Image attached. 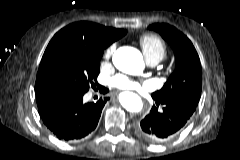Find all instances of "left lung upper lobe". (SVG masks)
<instances>
[{
	"label": "left lung upper lobe",
	"mask_w": 240,
	"mask_h": 160,
	"mask_svg": "<svg viewBox=\"0 0 240 160\" xmlns=\"http://www.w3.org/2000/svg\"><path fill=\"white\" fill-rule=\"evenodd\" d=\"M149 29L159 32L175 53L176 69L163 88L152 94L154 100H176L197 107L201 96L202 70L192 42L175 27L153 24Z\"/></svg>",
	"instance_id": "obj_1"
}]
</instances>
